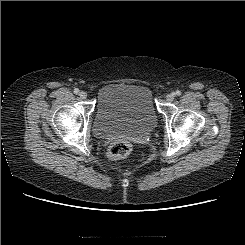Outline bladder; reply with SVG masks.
I'll return each mask as SVG.
<instances>
[{
    "label": "bladder",
    "instance_id": "obj_1",
    "mask_svg": "<svg viewBox=\"0 0 245 245\" xmlns=\"http://www.w3.org/2000/svg\"><path fill=\"white\" fill-rule=\"evenodd\" d=\"M157 121L153 92L149 87L110 83L98 90L94 120L96 136L141 137L151 132Z\"/></svg>",
    "mask_w": 245,
    "mask_h": 245
}]
</instances>
